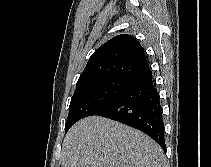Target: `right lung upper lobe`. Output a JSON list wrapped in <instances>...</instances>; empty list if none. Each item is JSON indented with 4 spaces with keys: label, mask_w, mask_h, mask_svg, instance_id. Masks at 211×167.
I'll list each match as a JSON object with an SVG mask.
<instances>
[{
    "label": "right lung upper lobe",
    "mask_w": 211,
    "mask_h": 167,
    "mask_svg": "<svg viewBox=\"0 0 211 167\" xmlns=\"http://www.w3.org/2000/svg\"><path fill=\"white\" fill-rule=\"evenodd\" d=\"M147 68L149 64L140 43L131 35H118L91 55L76 86L100 78H130Z\"/></svg>",
    "instance_id": "obj_1"
}]
</instances>
